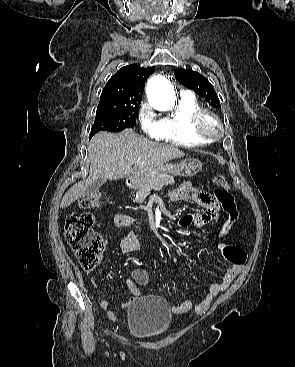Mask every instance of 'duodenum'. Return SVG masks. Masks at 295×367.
I'll return each mask as SVG.
<instances>
[{
    "mask_svg": "<svg viewBox=\"0 0 295 367\" xmlns=\"http://www.w3.org/2000/svg\"><path fill=\"white\" fill-rule=\"evenodd\" d=\"M133 183H134V179H133V178H130V179L128 180V185H129V186H133Z\"/></svg>",
    "mask_w": 295,
    "mask_h": 367,
    "instance_id": "410a0bca",
    "label": "duodenum"
}]
</instances>
